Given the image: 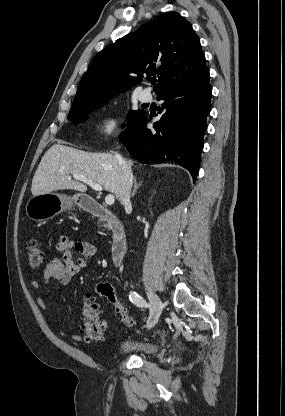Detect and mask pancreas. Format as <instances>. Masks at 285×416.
Here are the masks:
<instances>
[{"mask_svg": "<svg viewBox=\"0 0 285 416\" xmlns=\"http://www.w3.org/2000/svg\"><path fill=\"white\" fill-rule=\"evenodd\" d=\"M98 224H99V226H101V224H100V220H99Z\"/></svg>", "mask_w": 285, "mask_h": 416, "instance_id": "pancreas-1", "label": "pancreas"}]
</instances>
